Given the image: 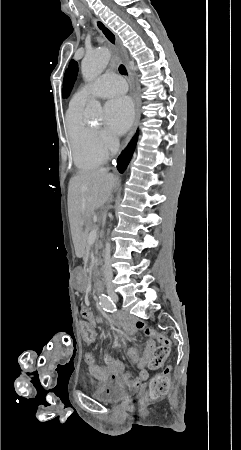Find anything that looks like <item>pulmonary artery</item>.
I'll list each match as a JSON object with an SVG mask.
<instances>
[{
  "instance_id": "1",
  "label": "pulmonary artery",
  "mask_w": 241,
  "mask_h": 450,
  "mask_svg": "<svg viewBox=\"0 0 241 450\" xmlns=\"http://www.w3.org/2000/svg\"><path fill=\"white\" fill-rule=\"evenodd\" d=\"M126 85L120 74H102L93 86L81 88L74 96L75 101L85 102L88 97L104 99L105 102H116L118 92H125Z\"/></svg>"
}]
</instances>
